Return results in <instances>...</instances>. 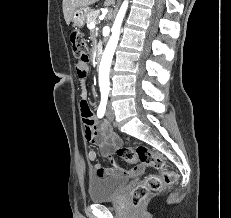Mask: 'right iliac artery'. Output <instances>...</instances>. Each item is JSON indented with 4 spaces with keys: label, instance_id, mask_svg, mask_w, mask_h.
<instances>
[{
    "label": "right iliac artery",
    "instance_id": "82829eb1",
    "mask_svg": "<svg viewBox=\"0 0 231 218\" xmlns=\"http://www.w3.org/2000/svg\"><path fill=\"white\" fill-rule=\"evenodd\" d=\"M107 98H108L107 93L101 94V103H100L99 108L97 110V115L99 118H102L104 116V113L106 110Z\"/></svg>",
    "mask_w": 231,
    "mask_h": 218
}]
</instances>
